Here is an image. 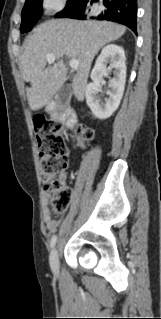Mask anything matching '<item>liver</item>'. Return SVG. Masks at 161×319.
Segmentation results:
<instances>
[{"label":"liver","mask_w":161,"mask_h":319,"mask_svg":"<svg viewBox=\"0 0 161 319\" xmlns=\"http://www.w3.org/2000/svg\"><path fill=\"white\" fill-rule=\"evenodd\" d=\"M126 31L122 25L108 21L52 19L37 26L26 39L20 57L22 76L31 83L27 98L33 111L51 102L67 79L63 56L78 60L72 89L83 101L92 61L107 43L119 39ZM54 53L57 62L46 67V55Z\"/></svg>","instance_id":"obj_1"}]
</instances>
